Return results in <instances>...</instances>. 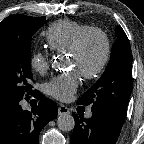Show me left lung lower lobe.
I'll list each match as a JSON object with an SVG mask.
<instances>
[{"instance_id":"obj_1","label":"left lung lower lobe","mask_w":144,"mask_h":144,"mask_svg":"<svg viewBox=\"0 0 144 144\" xmlns=\"http://www.w3.org/2000/svg\"><path fill=\"white\" fill-rule=\"evenodd\" d=\"M92 117L84 119L82 115L75 117L71 144H115L125 117L104 107H93Z\"/></svg>"}]
</instances>
